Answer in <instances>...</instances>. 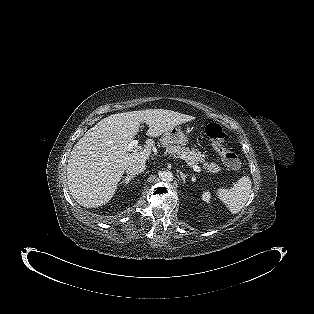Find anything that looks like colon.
<instances>
[{
    "instance_id": "obj_1",
    "label": "colon",
    "mask_w": 314,
    "mask_h": 314,
    "mask_svg": "<svg viewBox=\"0 0 314 314\" xmlns=\"http://www.w3.org/2000/svg\"><path fill=\"white\" fill-rule=\"evenodd\" d=\"M205 133L227 166L233 170L239 169L241 163L238 154L225 144L226 133L221 125L217 123H209L205 127Z\"/></svg>"
}]
</instances>
